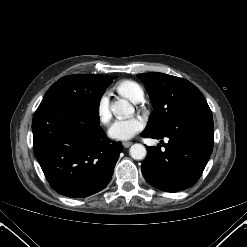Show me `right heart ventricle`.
Segmentation results:
<instances>
[{"mask_svg": "<svg viewBox=\"0 0 247 247\" xmlns=\"http://www.w3.org/2000/svg\"><path fill=\"white\" fill-rule=\"evenodd\" d=\"M115 89L120 95L134 103L141 101L144 97L142 87L133 80H122L117 83Z\"/></svg>", "mask_w": 247, "mask_h": 247, "instance_id": "right-heart-ventricle-1", "label": "right heart ventricle"}]
</instances>
